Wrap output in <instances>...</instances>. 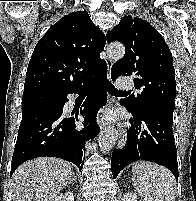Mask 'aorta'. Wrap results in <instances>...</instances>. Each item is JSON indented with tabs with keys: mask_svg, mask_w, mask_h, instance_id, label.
I'll use <instances>...</instances> for the list:
<instances>
[{
	"mask_svg": "<svg viewBox=\"0 0 196 201\" xmlns=\"http://www.w3.org/2000/svg\"><path fill=\"white\" fill-rule=\"evenodd\" d=\"M107 54L114 58L120 59L125 54V48L120 43L110 44L107 48ZM118 138V132L114 128H108L100 137H99V146L102 152L110 151L116 144Z\"/></svg>",
	"mask_w": 196,
	"mask_h": 201,
	"instance_id": "aorta-1",
	"label": "aorta"
}]
</instances>
